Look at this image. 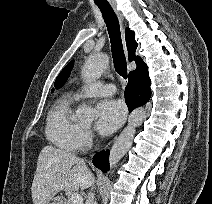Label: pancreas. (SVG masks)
Segmentation results:
<instances>
[{"label":"pancreas","instance_id":"1","mask_svg":"<svg viewBox=\"0 0 212 204\" xmlns=\"http://www.w3.org/2000/svg\"><path fill=\"white\" fill-rule=\"evenodd\" d=\"M64 204H71L70 200L68 199Z\"/></svg>","mask_w":212,"mask_h":204}]
</instances>
